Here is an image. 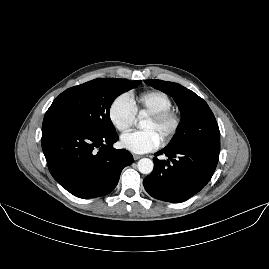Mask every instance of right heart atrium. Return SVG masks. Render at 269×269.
Here are the masks:
<instances>
[{"instance_id":"right-heart-atrium-1","label":"right heart atrium","mask_w":269,"mask_h":269,"mask_svg":"<svg viewBox=\"0 0 269 269\" xmlns=\"http://www.w3.org/2000/svg\"><path fill=\"white\" fill-rule=\"evenodd\" d=\"M108 118L120 132L133 128L137 121V114L132 97L126 93L116 96L109 105Z\"/></svg>"}]
</instances>
